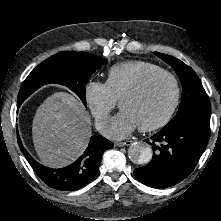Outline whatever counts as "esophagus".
<instances>
[{"label": "esophagus", "instance_id": "1", "mask_svg": "<svg viewBox=\"0 0 221 221\" xmlns=\"http://www.w3.org/2000/svg\"><path fill=\"white\" fill-rule=\"evenodd\" d=\"M132 143H133L132 140H126V141H124V142H116L115 145H116L117 147H124V146H129V145H131Z\"/></svg>", "mask_w": 221, "mask_h": 221}]
</instances>
